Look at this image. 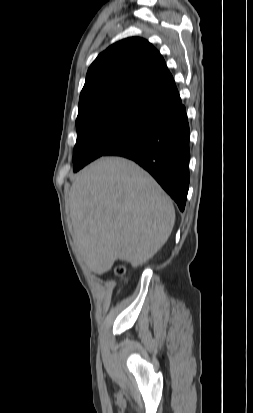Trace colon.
Listing matches in <instances>:
<instances>
[{"label": "colon", "mask_w": 253, "mask_h": 413, "mask_svg": "<svg viewBox=\"0 0 253 413\" xmlns=\"http://www.w3.org/2000/svg\"><path fill=\"white\" fill-rule=\"evenodd\" d=\"M125 272V267L124 266H117L115 268V274L116 275H123Z\"/></svg>", "instance_id": "1"}]
</instances>
